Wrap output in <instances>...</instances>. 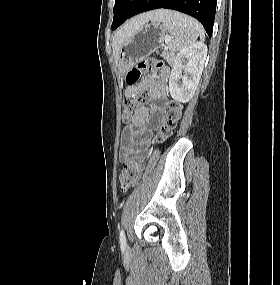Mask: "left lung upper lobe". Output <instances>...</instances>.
<instances>
[{
    "mask_svg": "<svg viewBox=\"0 0 280 285\" xmlns=\"http://www.w3.org/2000/svg\"><path fill=\"white\" fill-rule=\"evenodd\" d=\"M139 1L140 0H134L132 2L130 0H115L112 29H116L130 18L131 12Z\"/></svg>",
    "mask_w": 280,
    "mask_h": 285,
    "instance_id": "5c2ea615",
    "label": "left lung upper lobe"
}]
</instances>
